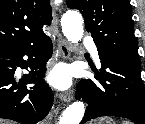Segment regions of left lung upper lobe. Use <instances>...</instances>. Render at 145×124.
Returning a JSON list of instances; mask_svg holds the SVG:
<instances>
[{
    "mask_svg": "<svg viewBox=\"0 0 145 124\" xmlns=\"http://www.w3.org/2000/svg\"><path fill=\"white\" fill-rule=\"evenodd\" d=\"M78 9L91 33L100 58H110L141 67L134 37L129 0H66Z\"/></svg>",
    "mask_w": 145,
    "mask_h": 124,
    "instance_id": "5c2ea615",
    "label": "left lung upper lobe"
}]
</instances>
